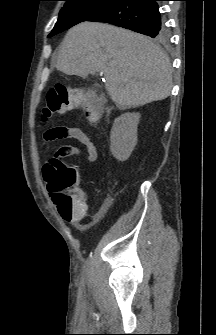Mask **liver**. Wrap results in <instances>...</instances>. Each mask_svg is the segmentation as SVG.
<instances>
[{
  "label": "liver",
  "instance_id": "1",
  "mask_svg": "<svg viewBox=\"0 0 216 335\" xmlns=\"http://www.w3.org/2000/svg\"><path fill=\"white\" fill-rule=\"evenodd\" d=\"M56 68L83 78L103 73L106 90L120 109L163 100L172 89L171 64L159 46L141 34L105 23L72 27Z\"/></svg>",
  "mask_w": 216,
  "mask_h": 335
}]
</instances>
